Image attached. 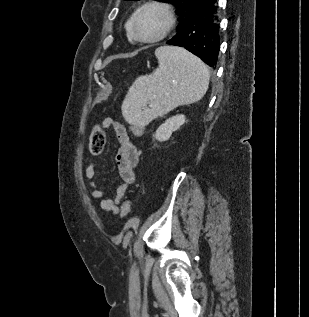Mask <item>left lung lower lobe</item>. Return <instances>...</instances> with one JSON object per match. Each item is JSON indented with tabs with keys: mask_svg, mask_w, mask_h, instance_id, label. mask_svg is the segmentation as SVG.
<instances>
[{
	"mask_svg": "<svg viewBox=\"0 0 309 317\" xmlns=\"http://www.w3.org/2000/svg\"><path fill=\"white\" fill-rule=\"evenodd\" d=\"M218 0H208L189 17L184 28L167 44L186 48L211 67H216L220 49Z\"/></svg>",
	"mask_w": 309,
	"mask_h": 317,
	"instance_id": "1",
	"label": "left lung lower lobe"
}]
</instances>
